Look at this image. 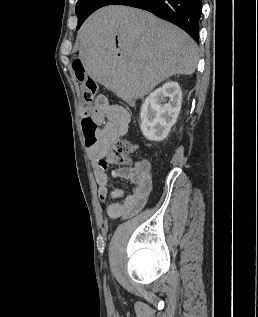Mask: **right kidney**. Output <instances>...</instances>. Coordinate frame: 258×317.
<instances>
[{"label": "right kidney", "mask_w": 258, "mask_h": 317, "mask_svg": "<svg viewBox=\"0 0 258 317\" xmlns=\"http://www.w3.org/2000/svg\"><path fill=\"white\" fill-rule=\"evenodd\" d=\"M182 90L175 80L165 82L145 98L140 112V128L149 140H164L178 118Z\"/></svg>", "instance_id": "obj_1"}]
</instances>
